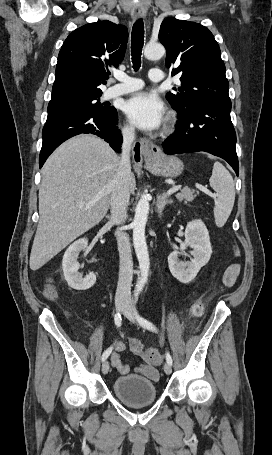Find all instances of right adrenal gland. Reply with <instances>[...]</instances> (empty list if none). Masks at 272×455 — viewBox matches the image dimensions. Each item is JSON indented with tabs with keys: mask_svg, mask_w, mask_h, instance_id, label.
Here are the masks:
<instances>
[{
	"mask_svg": "<svg viewBox=\"0 0 272 455\" xmlns=\"http://www.w3.org/2000/svg\"><path fill=\"white\" fill-rule=\"evenodd\" d=\"M106 218H107V219H110V217H109V216H106Z\"/></svg>",
	"mask_w": 272,
	"mask_h": 455,
	"instance_id": "1",
	"label": "right adrenal gland"
}]
</instances>
